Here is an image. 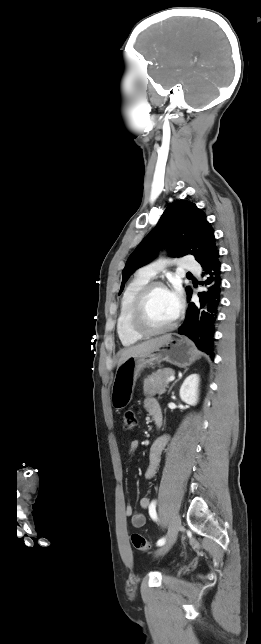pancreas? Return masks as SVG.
<instances>
[{
  "label": "pancreas",
  "instance_id": "1",
  "mask_svg": "<svg viewBox=\"0 0 261 644\" xmlns=\"http://www.w3.org/2000/svg\"><path fill=\"white\" fill-rule=\"evenodd\" d=\"M175 374L171 368L159 369L153 372L150 376L144 379V395L154 396L156 394H163L168 387V378Z\"/></svg>",
  "mask_w": 261,
  "mask_h": 644
}]
</instances>
